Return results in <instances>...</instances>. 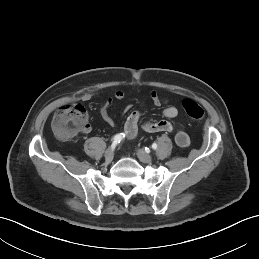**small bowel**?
Segmentation results:
<instances>
[{"label": "small bowel", "mask_w": 259, "mask_h": 259, "mask_svg": "<svg viewBox=\"0 0 259 259\" xmlns=\"http://www.w3.org/2000/svg\"><path fill=\"white\" fill-rule=\"evenodd\" d=\"M125 91L124 90H117L114 93V97L116 99H123L125 97ZM96 96V93L93 92H84L79 96V99L82 101H89L92 98ZM151 99L156 105H160L164 99L161 97V95L157 91L151 92ZM110 108V101H106L100 108V115L103 121L113 126L115 124V121L113 117L110 115L109 112ZM162 115L166 119H173L178 115V110L175 106H167L163 109ZM141 119V113L139 111H132L124 124V136L131 140L134 139L137 136L138 133V126ZM142 128L150 133H157V132H164V133H172L174 132V126L173 124L168 120H160L157 122H144L142 123ZM91 130V126L88 124L85 126V128L82 130L84 133H88ZM175 142L179 147H187L190 144V138L188 134L183 131L179 130L175 133Z\"/></svg>", "instance_id": "c3829d8e"}]
</instances>
